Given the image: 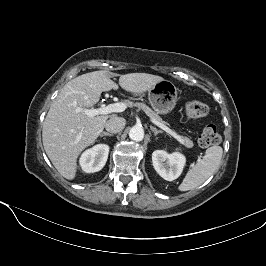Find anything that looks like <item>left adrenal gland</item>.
Returning <instances> with one entry per match:
<instances>
[{
    "label": "left adrenal gland",
    "instance_id": "1",
    "mask_svg": "<svg viewBox=\"0 0 266 266\" xmlns=\"http://www.w3.org/2000/svg\"><path fill=\"white\" fill-rule=\"evenodd\" d=\"M150 129L154 132L155 136H157L159 133H163V131L157 130L155 127L150 126Z\"/></svg>",
    "mask_w": 266,
    "mask_h": 266
}]
</instances>
